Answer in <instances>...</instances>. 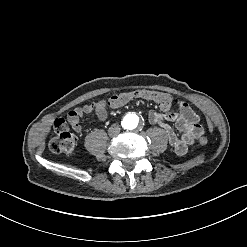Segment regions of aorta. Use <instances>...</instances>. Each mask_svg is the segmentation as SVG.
Listing matches in <instances>:
<instances>
[{
  "mask_svg": "<svg viewBox=\"0 0 247 247\" xmlns=\"http://www.w3.org/2000/svg\"><path fill=\"white\" fill-rule=\"evenodd\" d=\"M139 119L137 116H131L124 121V125L127 129H134L137 127Z\"/></svg>",
  "mask_w": 247,
  "mask_h": 247,
  "instance_id": "762f6f07",
  "label": "aorta"
}]
</instances>
